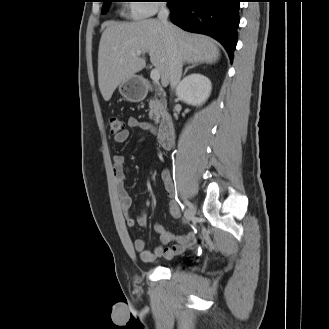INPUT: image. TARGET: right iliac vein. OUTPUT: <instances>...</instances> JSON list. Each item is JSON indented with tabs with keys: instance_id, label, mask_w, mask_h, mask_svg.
I'll return each instance as SVG.
<instances>
[{
	"instance_id": "63e3f726",
	"label": "right iliac vein",
	"mask_w": 329,
	"mask_h": 329,
	"mask_svg": "<svg viewBox=\"0 0 329 329\" xmlns=\"http://www.w3.org/2000/svg\"><path fill=\"white\" fill-rule=\"evenodd\" d=\"M195 213H196V208H195V206L193 205L191 208H189V209L185 212V220H186V221L191 220V219L194 217Z\"/></svg>"
}]
</instances>
